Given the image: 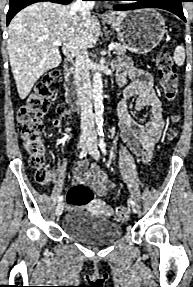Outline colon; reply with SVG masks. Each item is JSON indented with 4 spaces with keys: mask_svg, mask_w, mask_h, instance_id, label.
<instances>
[{
    "mask_svg": "<svg viewBox=\"0 0 193 287\" xmlns=\"http://www.w3.org/2000/svg\"><path fill=\"white\" fill-rule=\"evenodd\" d=\"M156 67L159 83L165 97L175 100L178 94V76L172 57L167 52H160L156 59ZM58 77L57 70L46 73L36 84L34 90L18 110V130L25 151L28 154L29 164L35 171V180L42 186H48L53 180V174L46 164V143L43 138V116L50 107L52 98V85ZM56 126H64L70 122L66 116L69 111L64 104L56 107ZM177 120L173 117V121ZM169 138L175 136V131L170 130ZM94 192L89 186L74 185L67 193V202L72 207H81L92 202ZM114 217L119 221H125L129 213L124 206H118L114 210Z\"/></svg>",
    "mask_w": 193,
    "mask_h": 287,
    "instance_id": "obj_1",
    "label": "colon"
}]
</instances>
